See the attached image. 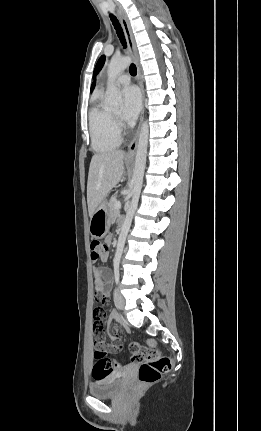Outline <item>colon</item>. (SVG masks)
Listing matches in <instances>:
<instances>
[{"label":"colon","instance_id":"1","mask_svg":"<svg viewBox=\"0 0 261 431\" xmlns=\"http://www.w3.org/2000/svg\"><path fill=\"white\" fill-rule=\"evenodd\" d=\"M106 254H108V244L106 242L92 241L91 258L93 261L101 259ZM101 317L106 318V315H101ZM133 345L135 343L130 345L131 349ZM104 355L105 353L100 350L95 352L96 363L93 367L92 375L96 383H103L105 379L109 378L110 373H119L121 371V362L114 363L112 360L106 359ZM132 361L138 362L140 365L139 386L136 389L156 383L172 367L171 359L156 350L153 341H148L144 348L139 347L135 354L132 355Z\"/></svg>","mask_w":261,"mask_h":431}]
</instances>
